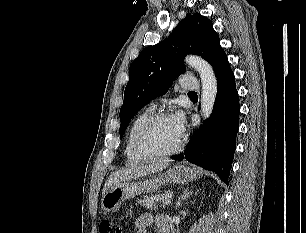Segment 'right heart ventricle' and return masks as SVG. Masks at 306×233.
<instances>
[{
	"label": "right heart ventricle",
	"instance_id": "right-heart-ventricle-1",
	"mask_svg": "<svg viewBox=\"0 0 306 233\" xmlns=\"http://www.w3.org/2000/svg\"><path fill=\"white\" fill-rule=\"evenodd\" d=\"M152 109L151 108H146L143 111H141L132 121L127 138H126V145H125V156L127 159L128 164H136L139 163L143 160L144 158L139 157L133 148V138L134 135L139 128V126L150 116L152 115Z\"/></svg>",
	"mask_w": 306,
	"mask_h": 233
}]
</instances>
